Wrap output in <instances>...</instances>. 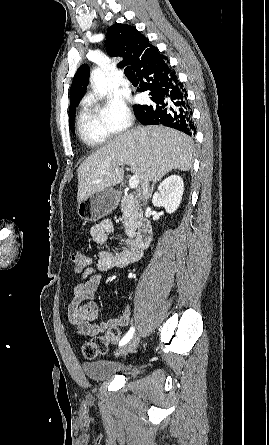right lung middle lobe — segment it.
<instances>
[{
  "instance_id": "1",
  "label": "right lung middle lobe",
  "mask_w": 269,
  "mask_h": 445,
  "mask_svg": "<svg viewBox=\"0 0 269 445\" xmlns=\"http://www.w3.org/2000/svg\"><path fill=\"white\" fill-rule=\"evenodd\" d=\"M77 104L69 108V128L74 132V118Z\"/></svg>"
}]
</instances>
